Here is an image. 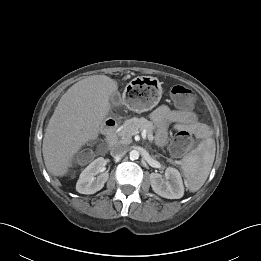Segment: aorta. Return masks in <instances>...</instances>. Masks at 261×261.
I'll use <instances>...</instances> for the list:
<instances>
[{"mask_svg": "<svg viewBox=\"0 0 261 261\" xmlns=\"http://www.w3.org/2000/svg\"><path fill=\"white\" fill-rule=\"evenodd\" d=\"M131 160H137L139 158V152L137 150H132L129 153Z\"/></svg>", "mask_w": 261, "mask_h": 261, "instance_id": "aorta-1", "label": "aorta"}]
</instances>
